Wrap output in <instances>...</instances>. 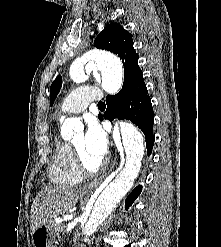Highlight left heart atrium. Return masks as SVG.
Segmentation results:
<instances>
[{
  "instance_id": "39dd6f15",
  "label": "left heart atrium",
  "mask_w": 221,
  "mask_h": 247,
  "mask_svg": "<svg viewBox=\"0 0 221 247\" xmlns=\"http://www.w3.org/2000/svg\"><path fill=\"white\" fill-rule=\"evenodd\" d=\"M86 150L93 156L102 159L107 151V136L102 128L95 122H91L84 134Z\"/></svg>"
}]
</instances>
